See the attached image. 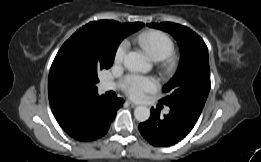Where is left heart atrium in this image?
I'll return each instance as SVG.
<instances>
[{
	"mask_svg": "<svg viewBox=\"0 0 261 162\" xmlns=\"http://www.w3.org/2000/svg\"><path fill=\"white\" fill-rule=\"evenodd\" d=\"M124 85L127 93L132 98H142L147 92H152L157 88V82L154 78L140 75H129L124 79Z\"/></svg>",
	"mask_w": 261,
	"mask_h": 162,
	"instance_id": "left-heart-atrium-1",
	"label": "left heart atrium"
}]
</instances>
